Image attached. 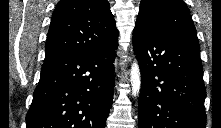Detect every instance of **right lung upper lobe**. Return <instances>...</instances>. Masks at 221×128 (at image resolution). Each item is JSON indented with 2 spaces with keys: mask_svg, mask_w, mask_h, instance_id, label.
<instances>
[{
  "mask_svg": "<svg viewBox=\"0 0 221 128\" xmlns=\"http://www.w3.org/2000/svg\"><path fill=\"white\" fill-rule=\"evenodd\" d=\"M118 39L107 0H60L47 35L45 60L75 52H89Z\"/></svg>",
  "mask_w": 221,
  "mask_h": 128,
  "instance_id": "obj_1",
  "label": "right lung upper lobe"
}]
</instances>
